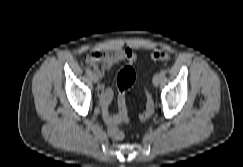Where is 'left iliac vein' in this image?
I'll list each match as a JSON object with an SVG mask.
<instances>
[{
    "instance_id": "obj_1",
    "label": "left iliac vein",
    "mask_w": 243,
    "mask_h": 167,
    "mask_svg": "<svg viewBox=\"0 0 243 167\" xmlns=\"http://www.w3.org/2000/svg\"><path fill=\"white\" fill-rule=\"evenodd\" d=\"M162 79H163V76L161 74H159V73L155 74L153 77V84L156 86L159 85L160 82L162 81Z\"/></svg>"
}]
</instances>
